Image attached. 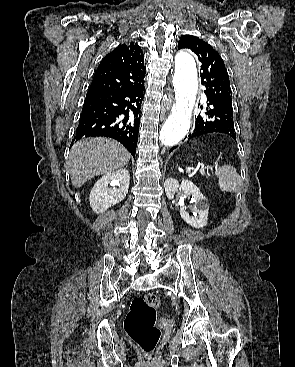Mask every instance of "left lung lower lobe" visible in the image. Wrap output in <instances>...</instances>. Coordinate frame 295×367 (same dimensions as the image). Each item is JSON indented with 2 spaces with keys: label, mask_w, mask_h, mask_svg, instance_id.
<instances>
[{
  "label": "left lung lower lobe",
  "mask_w": 295,
  "mask_h": 367,
  "mask_svg": "<svg viewBox=\"0 0 295 367\" xmlns=\"http://www.w3.org/2000/svg\"><path fill=\"white\" fill-rule=\"evenodd\" d=\"M207 105L205 115L196 117L194 131L188 135V138L191 139L208 133H223L236 140L232 102L223 98L207 96ZM175 148H171L169 153Z\"/></svg>",
  "instance_id": "left-lung-lower-lobe-1"
}]
</instances>
